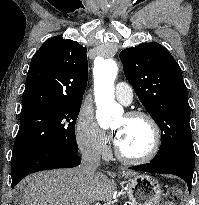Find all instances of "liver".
Returning <instances> with one entry per match:
<instances>
[{
	"instance_id": "6515ba94",
	"label": "liver",
	"mask_w": 199,
	"mask_h": 205,
	"mask_svg": "<svg viewBox=\"0 0 199 205\" xmlns=\"http://www.w3.org/2000/svg\"><path fill=\"white\" fill-rule=\"evenodd\" d=\"M134 171H123L131 178ZM24 190L23 205H91L96 201L109 202L116 185L106 175L96 174L92 180L80 175L79 168L43 171L29 176Z\"/></svg>"
}]
</instances>
